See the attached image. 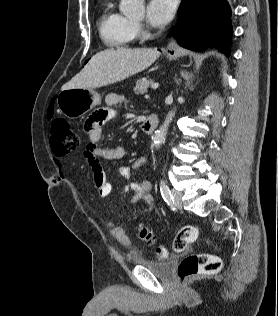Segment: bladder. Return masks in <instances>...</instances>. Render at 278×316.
Segmentation results:
<instances>
[{
	"label": "bladder",
	"mask_w": 278,
	"mask_h": 316,
	"mask_svg": "<svg viewBox=\"0 0 278 316\" xmlns=\"http://www.w3.org/2000/svg\"><path fill=\"white\" fill-rule=\"evenodd\" d=\"M132 263L136 266L143 267L160 278H168L175 269V263L171 260L157 261L144 258H133Z\"/></svg>",
	"instance_id": "obj_1"
}]
</instances>
